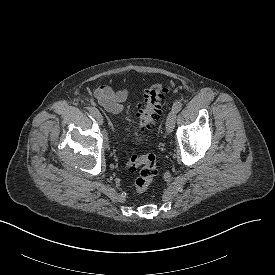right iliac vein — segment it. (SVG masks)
I'll return each mask as SVG.
<instances>
[{
    "label": "right iliac vein",
    "mask_w": 275,
    "mask_h": 275,
    "mask_svg": "<svg viewBox=\"0 0 275 275\" xmlns=\"http://www.w3.org/2000/svg\"><path fill=\"white\" fill-rule=\"evenodd\" d=\"M95 119H96V121H97L99 124H102V123H103V117H102V115L100 114L99 111H98L97 114L95 115Z\"/></svg>",
    "instance_id": "obj_1"
}]
</instances>
